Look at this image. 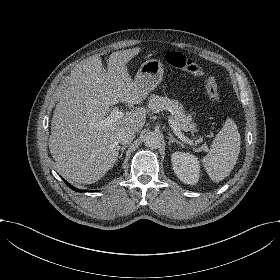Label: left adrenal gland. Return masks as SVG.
I'll return each mask as SVG.
<instances>
[{
    "mask_svg": "<svg viewBox=\"0 0 280 280\" xmlns=\"http://www.w3.org/2000/svg\"><path fill=\"white\" fill-rule=\"evenodd\" d=\"M168 135H169V141H168V143H170V142H178L180 145H182V146L184 145V143H183L182 141L176 139V138L172 135L171 132H168Z\"/></svg>",
    "mask_w": 280,
    "mask_h": 280,
    "instance_id": "obj_1",
    "label": "left adrenal gland"
}]
</instances>
